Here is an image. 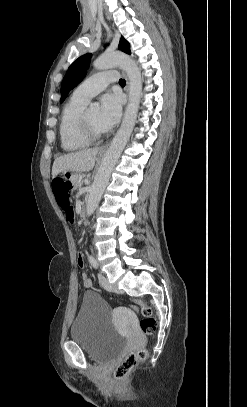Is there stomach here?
<instances>
[{
  "label": "stomach",
  "instance_id": "1",
  "mask_svg": "<svg viewBox=\"0 0 247 407\" xmlns=\"http://www.w3.org/2000/svg\"><path fill=\"white\" fill-rule=\"evenodd\" d=\"M61 178H69L70 181L73 178H78V169H61Z\"/></svg>",
  "mask_w": 247,
  "mask_h": 407
}]
</instances>
